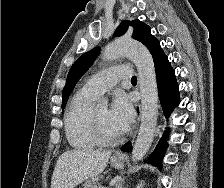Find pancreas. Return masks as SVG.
<instances>
[{"mask_svg": "<svg viewBox=\"0 0 224 188\" xmlns=\"http://www.w3.org/2000/svg\"><path fill=\"white\" fill-rule=\"evenodd\" d=\"M98 177H92L88 179L84 185L83 188H100L99 183H98Z\"/></svg>", "mask_w": 224, "mask_h": 188, "instance_id": "1", "label": "pancreas"}]
</instances>
